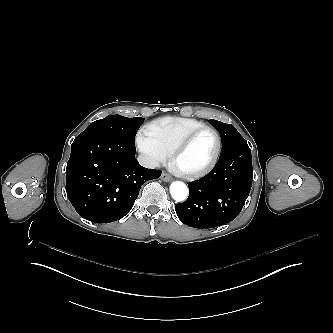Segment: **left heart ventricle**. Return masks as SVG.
I'll return each instance as SVG.
<instances>
[{
    "label": "left heart ventricle",
    "mask_w": 333,
    "mask_h": 333,
    "mask_svg": "<svg viewBox=\"0 0 333 333\" xmlns=\"http://www.w3.org/2000/svg\"><path fill=\"white\" fill-rule=\"evenodd\" d=\"M217 143L212 132L205 130L194 137L189 146L173 162L180 172H192L205 167L213 158Z\"/></svg>",
    "instance_id": "obj_1"
}]
</instances>
